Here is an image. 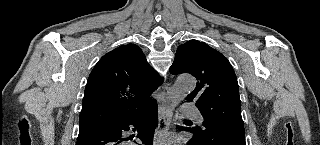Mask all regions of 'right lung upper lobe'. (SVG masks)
I'll return each instance as SVG.
<instances>
[{
    "label": "right lung upper lobe",
    "mask_w": 320,
    "mask_h": 145,
    "mask_svg": "<svg viewBox=\"0 0 320 145\" xmlns=\"http://www.w3.org/2000/svg\"><path fill=\"white\" fill-rule=\"evenodd\" d=\"M163 82L135 44L105 54L88 78L80 128L120 123L138 117L156 104L151 93Z\"/></svg>",
    "instance_id": "obj_1"
}]
</instances>
